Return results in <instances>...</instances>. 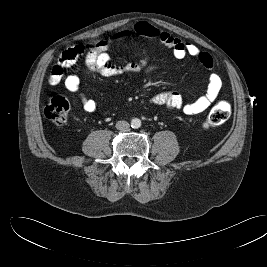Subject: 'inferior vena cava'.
Returning <instances> with one entry per match:
<instances>
[{"mask_svg": "<svg viewBox=\"0 0 267 267\" xmlns=\"http://www.w3.org/2000/svg\"><path fill=\"white\" fill-rule=\"evenodd\" d=\"M129 127H130L129 123L127 121H124V120L118 121L116 123V128L118 130H121V131H128Z\"/></svg>", "mask_w": 267, "mask_h": 267, "instance_id": "inferior-vena-cava-1", "label": "inferior vena cava"}]
</instances>
